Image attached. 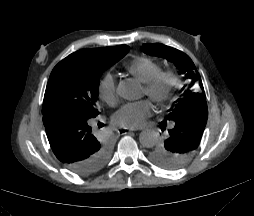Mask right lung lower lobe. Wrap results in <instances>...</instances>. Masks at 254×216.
<instances>
[{
    "mask_svg": "<svg viewBox=\"0 0 254 216\" xmlns=\"http://www.w3.org/2000/svg\"><path fill=\"white\" fill-rule=\"evenodd\" d=\"M91 122V119L67 112L43 115L52 151L60 162L79 175H87L88 169L103 151V146L93 134ZM98 126L103 127L104 124L99 122Z\"/></svg>",
    "mask_w": 254,
    "mask_h": 216,
    "instance_id": "obj_1",
    "label": "right lung lower lobe"
}]
</instances>
